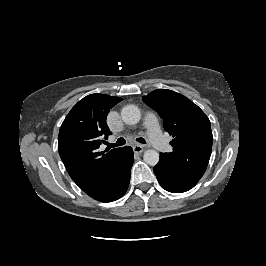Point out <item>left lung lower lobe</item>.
I'll return each mask as SVG.
<instances>
[{
	"label": "left lung lower lobe",
	"instance_id": "obj_1",
	"mask_svg": "<svg viewBox=\"0 0 266 266\" xmlns=\"http://www.w3.org/2000/svg\"><path fill=\"white\" fill-rule=\"evenodd\" d=\"M160 185L167 191L172 193H182L193 188L203 174L199 173H183L177 171L161 159L153 168Z\"/></svg>",
	"mask_w": 266,
	"mask_h": 266
}]
</instances>
